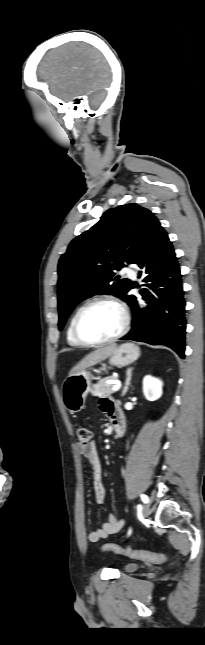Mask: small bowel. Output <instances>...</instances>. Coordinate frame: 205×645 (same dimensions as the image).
Wrapping results in <instances>:
<instances>
[{
	"label": "small bowel",
	"instance_id": "1",
	"mask_svg": "<svg viewBox=\"0 0 205 645\" xmlns=\"http://www.w3.org/2000/svg\"><path fill=\"white\" fill-rule=\"evenodd\" d=\"M118 407L110 398H104L100 401V409L103 413L112 420L114 412ZM77 452L83 456L89 463L92 469V486L95 496V501L102 504L105 499V489L102 480V466L99 454L94 443H89L87 446L81 444L77 445ZM126 525V520L117 518L115 515L109 513L107 519L102 525L88 534V541L96 543L108 536L118 533Z\"/></svg>",
	"mask_w": 205,
	"mask_h": 645
}]
</instances>
